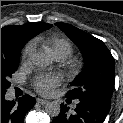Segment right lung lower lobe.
Returning <instances> with one entry per match:
<instances>
[{"instance_id": "1", "label": "right lung lower lobe", "mask_w": 123, "mask_h": 123, "mask_svg": "<svg viewBox=\"0 0 123 123\" xmlns=\"http://www.w3.org/2000/svg\"><path fill=\"white\" fill-rule=\"evenodd\" d=\"M36 100L24 95L16 101H7L1 93V123H23L26 113L35 105Z\"/></svg>"}]
</instances>
